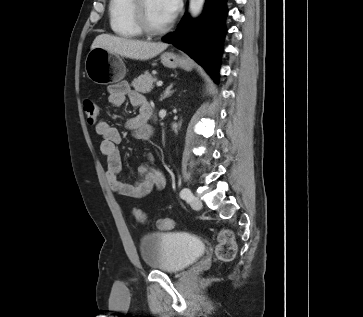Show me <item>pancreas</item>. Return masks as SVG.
<instances>
[{
    "label": "pancreas",
    "instance_id": "pancreas-1",
    "mask_svg": "<svg viewBox=\"0 0 363 317\" xmlns=\"http://www.w3.org/2000/svg\"><path fill=\"white\" fill-rule=\"evenodd\" d=\"M156 81L157 79L155 77H153L150 73L145 72L144 74H141L139 77L135 78L132 81L131 86L134 87V89L138 92L148 93L153 89V83Z\"/></svg>",
    "mask_w": 363,
    "mask_h": 317
}]
</instances>
